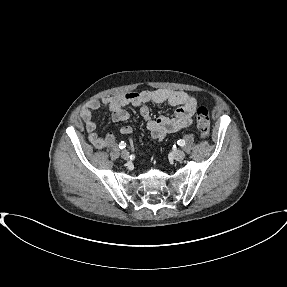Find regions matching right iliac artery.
Listing matches in <instances>:
<instances>
[{
	"mask_svg": "<svg viewBox=\"0 0 287 287\" xmlns=\"http://www.w3.org/2000/svg\"><path fill=\"white\" fill-rule=\"evenodd\" d=\"M125 147H126V143H124L123 141L120 142L119 148H120V149H123V148H125Z\"/></svg>",
	"mask_w": 287,
	"mask_h": 287,
	"instance_id": "obj_1",
	"label": "right iliac artery"
}]
</instances>
